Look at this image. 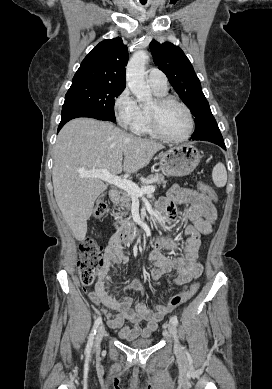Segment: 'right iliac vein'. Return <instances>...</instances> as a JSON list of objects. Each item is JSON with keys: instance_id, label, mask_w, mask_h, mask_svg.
Instances as JSON below:
<instances>
[{"instance_id": "63e3f726", "label": "right iliac vein", "mask_w": 272, "mask_h": 389, "mask_svg": "<svg viewBox=\"0 0 272 389\" xmlns=\"http://www.w3.org/2000/svg\"><path fill=\"white\" fill-rule=\"evenodd\" d=\"M105 334V326L104 324H101L97 330L95 342H94V347L98 348L100 346V343L103 339V336Z\"/></svg>"}]
</instances>
